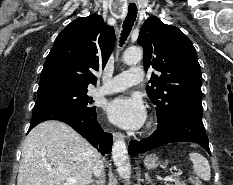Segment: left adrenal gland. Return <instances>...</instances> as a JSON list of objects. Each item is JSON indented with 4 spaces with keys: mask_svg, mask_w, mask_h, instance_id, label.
<instances>
[{
    "mask_svg": "<svg viewBox=\"0 0 233 185\" xmlns=\"http://www.w3.org/2000/svg\"><path fill=\"white\" fill-rule=\"evenodd\" d=\"M145 180H146V183L149 184L151 182V178L149 176V174L147 172H145Z\"/></svg>",
    "mask_w": 233,
    "mask_h": 185,
    "instance_id": "a2214340",
    "label": "left adrenal gland"
}]
</instances>
